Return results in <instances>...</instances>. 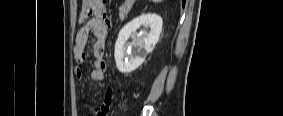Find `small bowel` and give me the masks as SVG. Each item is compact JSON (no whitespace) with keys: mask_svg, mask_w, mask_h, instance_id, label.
<instances>
[{"mask_svg":"<svg viewBox=\"0 0 283 116\" xmlns=\"http://www.w3.org/2000/svg\"><path fill=\"white\" fill-rule=\"evenodd\" d=\"M104 0H84L83 8L80 15L83 25L78 30L74 43V56L78 62L75 73L79 79L84 77L83 65L87 60L86 47L89 36H92L94 41L92 45L93 53V69L90 73V78L94 82L104 80L107 69L104 60L105 43L108 38V31L111 21L107 15ZM114 97L113 88L109 85L104 94V101L100 108L94 109L88 106L94 116H107L112 105Z\"/></svg>","mask_w":283,"mask_h":116,"instance_id":"1","label":"small bowel"}]
</instances>
